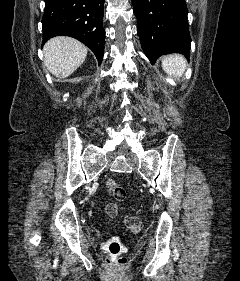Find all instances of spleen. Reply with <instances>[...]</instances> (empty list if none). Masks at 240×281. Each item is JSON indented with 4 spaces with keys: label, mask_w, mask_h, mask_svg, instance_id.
<instances>
[{
    "label": "spleen",
    "mask_w": 240,
    "mask_h": 281,
    "mask_svg": "<svg viewBox=\"0 0 240 281\" xmlns=\"http://www.w3.org/2000/svg\"><path fill=\"white\" fill-rule=\"evenodd\" d=\"M162 67L168 75L181 77L187 67V61L182 55L171 54L162 59Z\"/></svg>",
    "instance_id": "spleen-1"
}]
</instances>
